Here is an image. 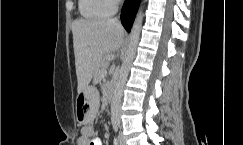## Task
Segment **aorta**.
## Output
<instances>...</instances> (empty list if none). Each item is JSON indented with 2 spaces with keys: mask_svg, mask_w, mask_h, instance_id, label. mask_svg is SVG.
I'll list each match as a JSON object with an SVG mask.
<instances>
[{
  "mask_svg": "<svg viewBox=\"0 0 243 145\" xmlns=\"http://www.w3.org/2000/svg\"><path fill=\"white\" fill-rule=\"evenodd\" d=\"M142 22H143V13L140 8L130 32L128 47L115 84V89L111 101V118L113 121H119L120 119V109H121L123 90H124L125 83L127 81L131 64L136 55V49L139 42Z\"/></svg>",
  "mask_w": 243,
  "mask_h": 145,
  "instance_id": "obj_1",
  "label": "aorta"
}]
</instances>
